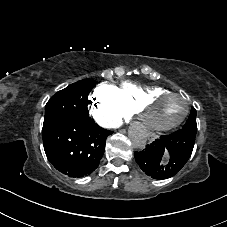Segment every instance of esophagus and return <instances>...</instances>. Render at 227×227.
I'll return each mask as SVG.
<instances>
[{
  "mask_svg": "<svg viewBox=\"0 0 227 227\" xmlns=\"http://www.w3.org/2000/svg\"><path fill=\"white\" fill-rule=\"evenodd\" d=\"M146 139L151 144L154 143L156 140L154 134H152V133L147 134Z\"/></svg>",
  "mask_w": 227,
  "mask_h": 227,
  "instance_id": "34e87169",
  "label": "esophagus"
}]
</instances>
